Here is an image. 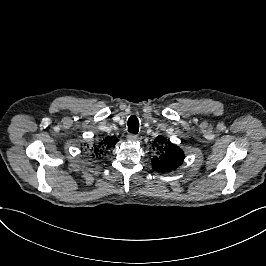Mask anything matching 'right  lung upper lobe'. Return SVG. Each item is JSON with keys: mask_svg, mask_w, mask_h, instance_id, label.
I'll list each match as a JSON object with an SVG mask.
<instances>
[{"mask_svg": "<svg viewBox=\"0 0 266 266\" xmlns=\"http://www.w3.org/2000/svg\"><path fill=\"white\" fill-rule=\"evenodd\" d=\"M117 142L118 139L116 137L107 136L103 141H101L99 145H94V148L92 150L98 156V154L100 155V153H102L104 149L113 147Z\"/></svg>", "mask_w": 266, "mask_h": 266, "instance_id": "1", "label": "right lung upper lobe"}]
</instances>
